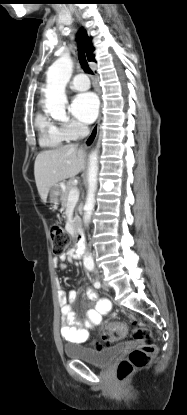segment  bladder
<instances>
[{
    "label": "bladder",
    "instance_id": "31cf9c89",
    "mask_svg": "<svg viewBox=\"0 0 187 415\" xmlns=\"http://www.w3.org/2000/svg\"><path fill=\"white\" fill-rule=\"evenodd\" d=\"M124 350V344H116L98 350H93L81 345L64 346V353L67 358L82 360L90 365L100 368L108 367L114 360L121 357Z\"/></svg>",
    "mask_w": 187,
    "mask_h": 415
}]
</instances>
